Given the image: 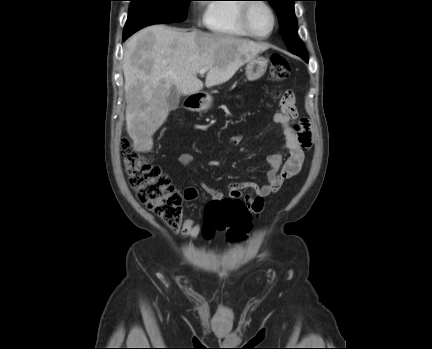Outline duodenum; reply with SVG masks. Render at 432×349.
<instances>
[{
	"label": "duodenum",
	"mask_w": 432,
	"mask_h": 349,
	"mask_svg": "<svg viewBox=\"0 0 432 349\" xmlns=\"http://www.w3.org/2000/svg\"><path fill=\"white\" fill-rule=\"evenodd\" d=\"M201 98L199 96H191L185 102V107L189 110H195L199 107Z\"/></svg>",
	"instance_id": "410a0bca"
}]
</instances>
